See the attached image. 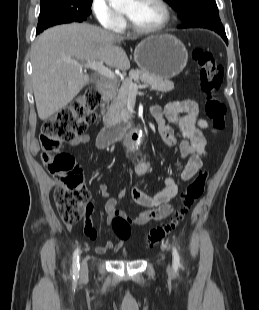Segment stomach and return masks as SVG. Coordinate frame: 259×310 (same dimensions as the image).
<instances>
[{
    "instance_id": "0dacf381",
    "label": "stomach",
    "mask_w": 259,
    "mask_h": 310,
    "mask_svg": "<svg viewBox=\"0 0 259 310\" xmlns=\"http://www.w3.org/2000/svg\"><path fill=\"white\" fill-rule=\"evenodd\" d=\"M134 60L142 72L171 79L185 68L188 53L184 44L175 36L159 34L144 39L136 46Z\"/></svg>"
}]
</instances>
